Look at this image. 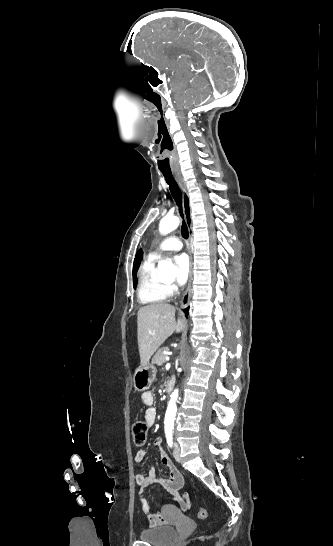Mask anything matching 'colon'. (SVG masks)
I'll return each instance as SVG.
<instances>
[{
    "mask_svg": "<svg viewBox=\"0 0 333 546\" xmlns=\"http://www.w3.org/2000/svg\"><path fill=\"white\" fill-rule=\"evenodd\" d=\"M132 439L136 447H143L147 441V426L142 421H137L132 427ZM207 517V511L205 508H200L198 511V518L205 519Z\"/></svg>",
    "mask_w": 333,
    "mask_h": 546,
    "instance_id": "5ec220e1",
    "label": "colon"
}]
</instances>
